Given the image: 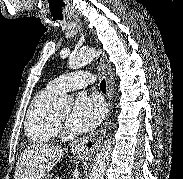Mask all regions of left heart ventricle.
I'll return each instance as SVG.
<instances>
[{
    "mask_svg": "<svg viewBox=\"0 0 183 179\" xmlns=\"http://www.w3.org/2000/svg\"><path fill=\"white\" fill-rule=\"evenodd\" d=\"M58 114L63 120H68V118L71 114V110L67 109V110H64V111H60Z\"/></svg>",
    "mask_w": 183,
    "mask_h": 179,
    "instance_id": "left-heart-ventricle-1",
    "label": "left heart ventricle"
}]
</instances>
